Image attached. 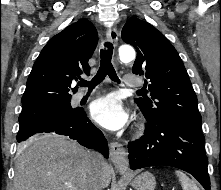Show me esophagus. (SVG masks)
Masks as SVG:
<instances>
[{
  "label": "esophagus",
  "mask_w": 221,
  "mask_h": 190,
  "mask_svg": "<svg viewBox=\"0 0 221 190\" xmlns=\"http://www.w3.org/2000/svg\"><path fill=\"white\" fill-rule=\"evenodd\" d=\"M106 38L108 41L117 46L118 41V31L117 28L112 26L106 31ZM110 159L114 166L121 172H126L128 170V154L122 144L118 142H111L110 145Z\"/></svg>",
  "instance_id": "34e87169"
}]
</instances>
